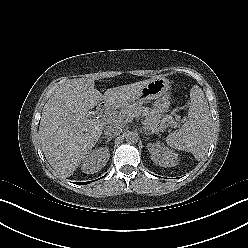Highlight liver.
<instances>
[{
  "label": "liver",
  "mask_w": 248,
  "mask_h": 248,
  "mask_svg": "<svg viewBox=\"0 0 248 248\" xmlns=\"http://www.w3.org/2000/svg\"><path fill=\"white\" fill-rule=\"evenodd\" d=\"M107 89H94L92 79H72L60 85L44 106L39 126L42 151L49 164L68 177L95 146L105 123L88 113L100 101L127 103L149 81Z\"/></svg>",
  "instance_id": "6515ba94"
}]
</instances>
